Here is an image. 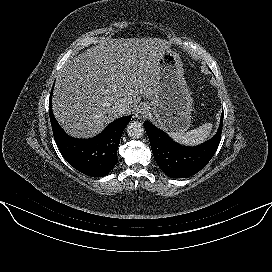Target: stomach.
<instances>
[{"label": "stomach", "instance_id": "1", "mask_svg": "<svg viewBox=\"0 0 272 272\" xmlns=\"http://www.w3.org/2000/svg\"><path fill=\"white\" fill-rule=\"evenodd\" d=\"M158 72L157 92L145 106L165 131L185 132L190 127L193 100L180 56L170 47L159 61Z\"/></svg>", "mask_w": 272, "mask_h": 272}]
</instances>
